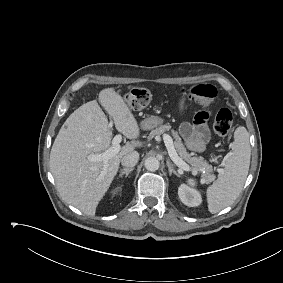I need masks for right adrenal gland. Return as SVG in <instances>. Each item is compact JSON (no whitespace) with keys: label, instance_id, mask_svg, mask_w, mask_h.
<instances>
[{"label":"right adrenal gland","instance_id":"2a0ac1e0","mask_svg":"<svg viewBox=\"0 0 283 283\" xmlns=\"http://www.w3.org/2000/svg\"><path fill=\"white\" fill-rule=\"evenodd\" d=\"M133 170H134V168H124L122 170V172L119 174V177H122L123 175H125V177H127L129 175V173Z\"/></svg>","mask_w":283,"mask_h":283}]
</instances>
